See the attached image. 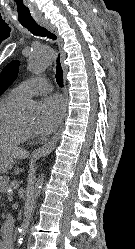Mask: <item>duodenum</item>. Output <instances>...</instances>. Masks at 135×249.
I'll list each match as a JSON object with an SVG mask.
<instances>
[{"label": "duodenum", "instance_id": "duodenum-1", "mask_svg": "<svg viewBox=\"0 0 135 249\" xmlns=\"http://www.w3.org/2000/svg\"><path fill=\"white\" fill-rule=\"evenodd\" d=\"M0 244L2 249H12L11 242L8 239L3 240Z\"/></svg>", "mask_w": 135, "mask_h": 249}]
</instances>
